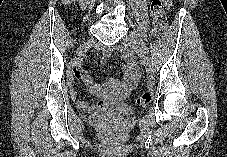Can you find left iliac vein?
<instances>
[{
  "label": "left iliac vein",
  "mask_w": 227,
  "mask_h": 157,
  "mask_svg": "<svg viewBox=\"0 0 227 157\" xmlns=\"http://www.w3.org/2000/svg\"><path fill=\"white\" fill-rule=\"evenodd\" d=\"M136 35L137 34L135 33H131L129 36L124 37L121 40V43L124 46L129 47L139 53L142 63L145 66L149 77L154 78L155 70H154L153 63L149 59V57L141 50V44H139V41L137 40Z\"/></svg>",
  "instance_id": "1"
}]
</instances>
